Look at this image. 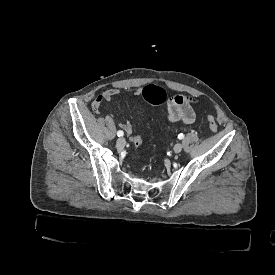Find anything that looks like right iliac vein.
<instances>
[{
  "label": "right iliac vein",
  "mask_w": 275,
  "mask_h": 275,
  "mask_svg": "<svg viewBox=\"0 0 275 275\" xmlns=\"http://www.w3.org/2000/svg\"><path fill=\"white\" fill-rule=\"evenodd\" d=\"M125 144H126V140L123 137L119 138L116 142V146L119 149L123 148Z\"/></svg>",
  "instance_id": "1"
}]
</instances>
